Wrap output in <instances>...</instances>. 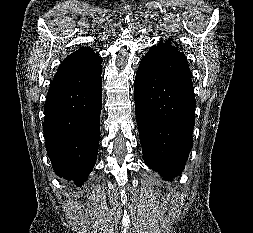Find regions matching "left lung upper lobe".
<instances>
[{
	"label": "left lung upper lobe",
	"mask_w": 253,
	"mask_h": 233,
	"mask_svg": "<svg viewBox=\"0 0 253 233\" xmlns=\"http://www.w3.org/2000/svg\"><path fill=\"white\" fill-rule=\"evenodd\" d=\"M172 42H173V40L170 38L168 39V41H166V43H169V44H172ZM174 45L179 46L176 42H174Z\"/></svg>",
	"instance_id": "5c2ea615"
}]
</instances>
